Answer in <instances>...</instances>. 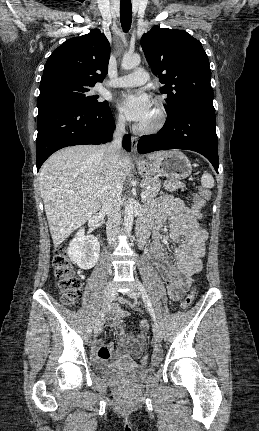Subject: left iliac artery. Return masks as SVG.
Masks as SVG:
<instances>
[{"label": "left iliac artery", "mask_w": 259, "mask_h": 431, "mask_svg": "<svg viewBox=\"0 0 259 431\" xmlns=\"http://www.w3.org/2000/svg\"><path fill=\"white\" fill-rule=\"evenodd\" d=\"M138 286H139V289L141 291L142 298H143L144 302L147 304V307H148V310L150 312V315H151L152 319L155 321L156 320L155 313H154V310L152 308V305H151L150 299L148 297V294H147L144 286L139 281H138Z\"/></svg>", "instance_id": "left-iliac-artery-1"}]
</instances>
